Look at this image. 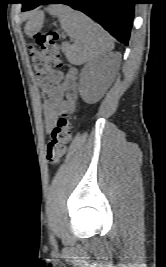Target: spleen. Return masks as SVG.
<instances>
[{
  "mask_svg": "<svg viewBox=\"0 0 166 267\" xmlns=\"http://www.w3.org/2000/svg\"><path fill=\"white\" fill-rule=\"evenodd\" d=\"M46 11L58 17L61 28L74 39L69 46L66 57L70 63L80 65L106 54L114 48L109 34L85 14L66 5H50ZM43 13H37L29 22L31 31L42 25Z\"/></svg>",
  "mask_w": 166,
  "mask_h": 267,
  "instance_id": "obj_1",
  "label": "spleen"
}]
</instances>
